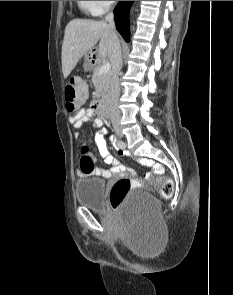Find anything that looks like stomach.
I'll list each match as a JSON object with an SVG mask.
<instances>
[{"label": "stomach", "instance_id": "stomach-1", "mask_svg": "<svg viewBox=\"0 0 233 295\" xmlns=\"http://www.w3.org/2000/svg\"><path fill=\"white\" fill-rule=\"evenodd\" d=\"M91 61H92V59H91L89 53H86L85 54V64H84L85 70H88L92 67Z\"/></svg>", "mask_w": 233, "mask_h": 295}]
</instances>
